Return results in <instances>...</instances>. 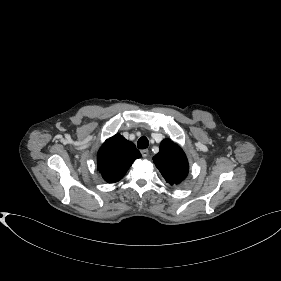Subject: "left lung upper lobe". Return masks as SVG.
Returning <instances> with one entry per match:
<instances>
[{"instance_id":"left-lung-upper-lobe-1","label":"left lung upper lobe","mask_w":281,"mask_h":281,"mask_svg":"<svg viewBox=\"0 0 281 281\" xmlns=\"http://www.w3.org/2000/svg\"><path fill=\"white\" fill-rule=\"evenodd\" d=\"M154 164L170 185L181 183L188 175L189 165L182 148L170 139H164L160 151L153 157Z\"/></svg>"}]
</instances>
